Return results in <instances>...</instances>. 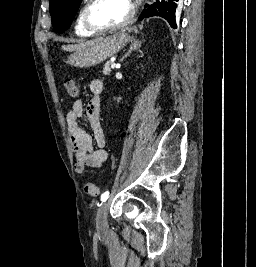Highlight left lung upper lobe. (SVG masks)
Here are the masks:
<instances>
[{
	"label": "left lung upper lobe",
	"instance_id": "5c2ea615",
	"mask_svg": "<svg viewBox=\"0 0 256 267\" xmlns=\"http://www.w3.org/2000/svg\"><path fill=\"white\" fill-rule=\"evenodd\" d=\"M81 1L82 0H49L52 24L56 32L62 33L70 26ZM145 7H147V5ZM151 16L163 17L171 24L173 19L172 0H169V2L158 1L156 5L145 8L138 19L142 20L143 18Z\"/></svg>",
	"mask_w": 256,
	"mask_h": 267
}]
</instances>
